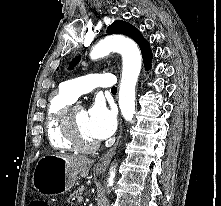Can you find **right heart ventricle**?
<instances>
[{
    "instance_id": "e07e8e85",
    "label": "right heart ventricle",
    "mask_w": 221,
    "mask_h": 206,
    "mask_svg": "<svg viewBox=\"0 0 221 206\" xmlns=\"http://www.w3.org/2000/svg\"><path fill=\"white\" fill-rule=\"evenodd\" d=\"M74 99L62 88L52 95L46 113V133L50 145L58 150L74 151L75 148L68 139L62 124V117L67 106Z\"/></svg>"
}]
</instances>
